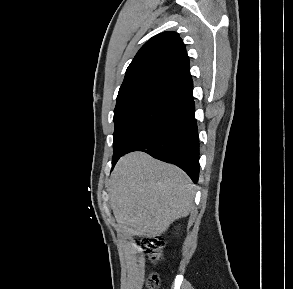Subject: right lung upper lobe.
Wrapping results in <instances>:
<instances>
[{"label": "right lung upper lobe", "instance_id": "obj_1", "mask_svg": "<svg viewBox=\"0 0 293 289\" xmlns=\"http://www.w3.org/2000/svg\"><path fill=\"white\" fill-rule=\"evenodd\" d=\"M157 97L181 106L193 99L189 58L179 34L160 33L147 41L128 66L117 103Z\"/></svg>", "mask_w": 293, "mask_h": 289}]
</instances>
